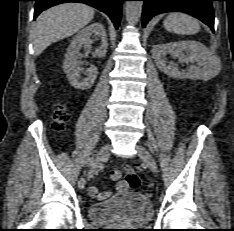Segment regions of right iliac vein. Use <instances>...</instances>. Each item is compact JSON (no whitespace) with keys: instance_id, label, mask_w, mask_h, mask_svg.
<instances>
[{"instance_id":"obj_1","label":"right iliac vein","mask_w":234,"mask_h":231,"mask_svg":"<svg viewBox=\"0 0 234 231\" xmlns=\"http://www.w3.org/2000/svg\"><path fill=\"white\" fill-rule=\"evenodd\" d=\"M109 151H110V145L106 144L104 145L99 152L96 155V158L92 161H90V159H88L86 161L87 166H99L104 160H106L109 156ZM85 186V178H80V180L78 181V188L79 189H83Z\"/></svg>"}]
</instances>
